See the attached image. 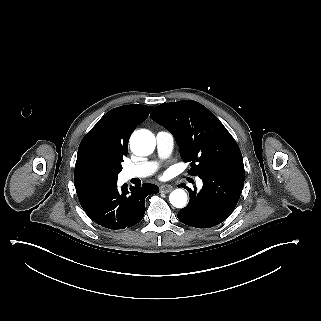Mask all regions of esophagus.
<instances>
[{
  "instance_id": "esophagus-1",
  "label": "esophagus",
  "mask_w": 321,
  "mask_h": 321,
  "mask_svg": "<svg viewBox=\"0 0 321 321\" xmlns=\"http://www.w3.org/2000/svg\"><path fill=\"white\" fill-rule=\"evenodd\" d=\"M172 189H173V187L171 185H162L160 187V192L161 193H169L172 191Z\"/></svg>"
}]
</instances>
